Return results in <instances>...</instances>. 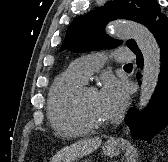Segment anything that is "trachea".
Masks as SVG:
<instances>
[{"label": "trachea", "mask_w": 168, "mask_h": 162, "mask_svg": "<svg viewBox=\"0 0 168 162\" xmlns=\"http://www.w3.org/2000/svg\"><path fill=\"white\" fill-rule=\"evenodd\" d=\"M132 64H126L124 67H132Z\"/></svg>", "instance_id": "trachea-1"}]
</instances>
